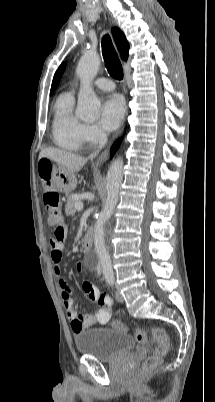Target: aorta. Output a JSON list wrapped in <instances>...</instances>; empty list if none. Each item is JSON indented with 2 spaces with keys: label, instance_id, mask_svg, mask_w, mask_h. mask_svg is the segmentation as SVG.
Masks as SVG:
<instances>
[{
  "label": "aorta",
  "instance_id": "1",
  "mask_svg": "<svg viewBox=\"0 0 215 402\" xmlns=\"http://www.w3.org/2000/svg\"><path fill=\"white\" fill-rule=\"evenodd\" d=\"M99 67L100 57L95 53L84 54L77 65L76 73L80 78L81 88L78 94L76 114L85 121H94L100 116V100L91 86ZM123 166V159L118 158L110 165L107 171V199L95 226V247L91 261L101 266L105 278H113L114 276L105 223L111 217L118 203L120 186L123 180Z\"/></svg>",
  "mask_w": 215,
  "mask_h": 402
}]
</instances>
